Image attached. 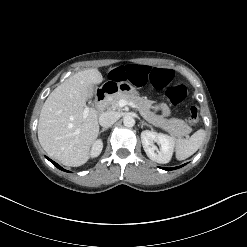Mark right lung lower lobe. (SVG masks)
I'll return each mask as SVG.
<instances>
[{"label": "right lung lower lobe", "instance_id": "98d812e1", "mask_svg": "<svg viewBox=\"0 0 247 247\" xmlns=\"http://www.w3.org/2000/svg\"><path fill=\"white\" fill-rule=\"evenodd\" d=\"M53 165H55L57 168H59L60 170H63V171H66V172H69L65 169H63L61 166H59L56 162L52 161L51 159H49L48 157H46Z\"/></svg>", "mask_w": 247, "mask_h": 247}]
</instances>
